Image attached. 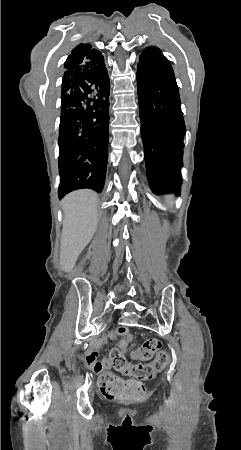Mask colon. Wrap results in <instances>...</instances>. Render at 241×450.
<instances>
[{
  "instance_id": "obj_1",
  "label": "colon",
  "mask_w": 241,
  "mask_h": 450,
  "mask_svg": "<svg viewBox=\"0 0 241 450\" xmlns=\"http://www.w3.org/2000/svg\"><path fill=\"white\" fill-rule=\"evenodd\" d=\"M161 348V342L158 339L150 338L143 342V344L134 350V357L149 361L154 354H159ZM110 364L117 370L124 372L132 377L138 379H154L164 368L169 357L167 352L162 351L160 354L150 363L130 365L126 363L124 356L114 350L111 354ZM102 374L98 378V386L102 397L108 401L119 402H144L148 393L142 383L135 380L121 379L109 371L101 369Z\"/></svg>"
}]
</instances>
